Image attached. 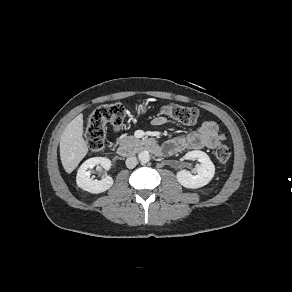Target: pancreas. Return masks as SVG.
<instances>
[{
	"instance_id": "pancreas-1",
	"label": "pancreas",
	"mask_w": 292,
	"mask_h": 292,
	"mask_svg": "<svg viewBox=\"0 0 292 292\" xmlns=\"http://www.w3.org/2000/svg\"><path fill=\"white\" fill-rule=\"evenodd\" d=\"M136 141L137 139H135L133 136H126V135H123L122 138H121V142L125 143L127 141Z\"/></svg>"
}]
</instances>
